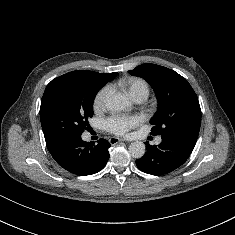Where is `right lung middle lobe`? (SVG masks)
Here are the masks:
<instances>
[{
    "label": "right lung middle lobe",
    "instance_id": "dd1d6c3e",
    "mask_svg": "<svg viewBox=\"0 0 235 235\" xmlns=\"http://www.w3.org/2000/svg\"><path fill=\"white\" fill-rule=\"evenodd\" d=\"M102 85L88 79H56L46 87L40 120L48 149L81 136L93 116V101Z\"/></svg>",
    "mask_w": 235,
    "mask_h": 235
}]
</instances>
